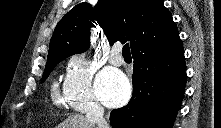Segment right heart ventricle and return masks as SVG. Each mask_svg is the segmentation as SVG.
<instances>
[{
    "instance_id": "e07e8e85",
    "label": "right heart ventricle",
    "mask_w": 221,
    "mask_h": 128,
    "mask_svg": "<svg viewBox=\"0 0 221 128\" xmlns=\"http://www.w3.org/2000/svg\"><path fill=\"white\" fill-rule=\"evenodd\" d=\"M52 95L54 102L57 106L61 107L68 104V100L64 91H60L56 84L52 86Z\"/></svg>"
}]
</instances>
